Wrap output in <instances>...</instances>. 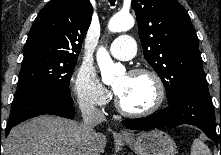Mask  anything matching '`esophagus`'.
<instances>
[{
	"label": "esophagus",
	"mask_w": 221,
	"mask_h": 155,
	"mask_svg": "<svg viewBox=\"0 0 221 155\" xmlns=\"http://www.w3.org/2000/svg\"><path fill=\"white\" fill-rule=\"evenodd\" d=\"M120 135L123 136V137H127V136L130 135V133L127 132V131H125V130H121V131H120Z\"/></svg>",
	"instance_id": "1"
}]
</instances>
